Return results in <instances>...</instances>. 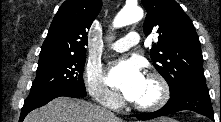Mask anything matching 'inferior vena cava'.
<instances>
[{
  "label": "inferior vena cava",
  "instance_id": "602c4592",
  "mask_svg": "<svg viewBox=\"0 0 221 122\" xmlns=\"http://www.w3.org/2000/svg\"><path fill=\"white\" fill-rule=\"evenodd\" d=\"M103 111H104L109 117H114V116H115L111 111H108V110H105V109H103Z\"/></svg>",
  "mask_w": 221,
  "mask_h": 122
}]
</instances>
